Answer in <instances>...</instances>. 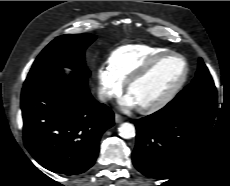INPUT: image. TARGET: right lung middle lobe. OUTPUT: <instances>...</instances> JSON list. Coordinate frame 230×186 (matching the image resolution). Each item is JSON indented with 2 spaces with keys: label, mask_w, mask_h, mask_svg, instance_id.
Segmentation results:
<instances>
[{
  "label": "right lung middle lobe",
  "mask_w": 230,
  "mask_h": 186,
  "mask_svg": "<svg viewBox=\"0 0 230 186\" xmlns=\"http://www.w3.org/2000/svg\"><path fill=\"white\" fill-rule=\"evenodd\" d=\"M96 39L92 34H67L54 39L39 54L28 77L67 67L88 77L84 51Z\"/></svg>",
  "instance_id": "dd1d6c3e"
}]
</instances>
